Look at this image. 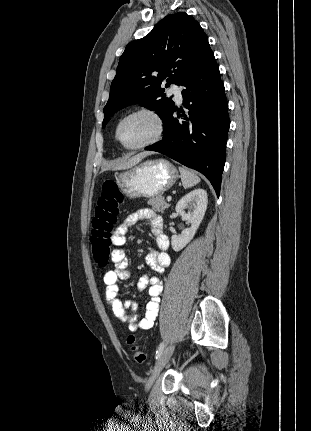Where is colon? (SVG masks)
I'll return each mask as SVG.
<instances>
[{
    "label": "colon",
    "instance_id": "1",
    "mask_svg": "<svg viewBox=\"0 0 311 431\" xmlns=\"http://www.w3.org/2000/svg\"><path fill=\"white\" fill-rule=\"evenodd\" d=\"M123 195L117 181L108 179L102 185L97 200L90 236L91 250L95 262L105 266L111 255L112 232L117 222ZM127 343L131 347L132 357L136 363L146 361L145 354L139 349L136 337L128 335Z\"/></svg>",
    "mask_w": 311,
    "mask_h": 431
}]
</instances>
